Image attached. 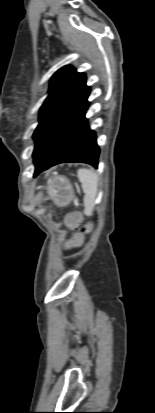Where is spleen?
<instances>
[{
  "label": "spleen",
  "instance_id": "3e777b00",
  "mask_svg": "<svg viewBox=\"0 0 155 413\" xmlns=\"http://www.w3.org/2000/svg\"><path fill=\"white\" fill-rule=\"evenodd\" d=\"M78 178L82 184V188L85 193L84 214L87 216H91L93 214L94 201L97 196L98 176L92 169L81 168L78 170Z\"/></svg>",
  "mask_w": 155,
  "mask_h": 413
}]
</instances>
